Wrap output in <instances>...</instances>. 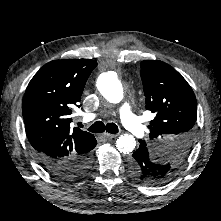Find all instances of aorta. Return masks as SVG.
<instances>
[{"label":"aorta","instance_id":"762f6f07","mask_svg":"<svg viewBox=\"0 0 221 221\" xmlns=\"http://www.w3.org/2000/svg\"><path fill=\"white\" fill-rule=\"evenodd\" d=\"M97 88L111 103H119L123 99V87L115 72L101 74L97 80ZM135 146L136 140L130 134H123L116 141L117 149L124 154L132 152Z\"/></svg>","mask_w":221,"mask_h":221}]
</instances>
